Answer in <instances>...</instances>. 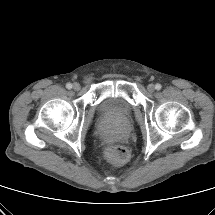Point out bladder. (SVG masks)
<instances>
[{"label":"bladder","mask_w":215,"mask_h":215,"mask_svg":"<svg viewBox=\"0 0 215 215\" xmlns=\"http://www.w3.org/2000/svg\"><path fill=\"white\" fill-rule=\"evenodd\" d=\"M131 111V104L120 96H106L98 104V112L100 115L116 120L128 117Z\"/></svg>","instance_id":"1"}]
</instances>
